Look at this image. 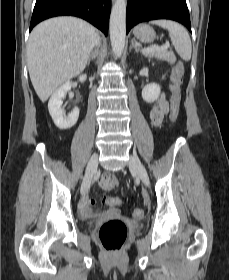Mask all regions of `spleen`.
I'll use <instances>...</instances> for the list:
<instances>
[{"mask_svg":"<svg viewBox=\"0 0 229 280\" xmlns=\"http://www.w3.org/2000/svg\"><path fill=\"white\" fill-rule=\"evenodd\" d=\"M150 23L168 30L169 37L178 55L185 61L190 60L192 53L191 40L188 32L182 25L165 19L153 20Z\"/></svg>","mask_w":229,"mask_h":280,"instance_id":"obj_1","label":"spleen"}]
</instances>
